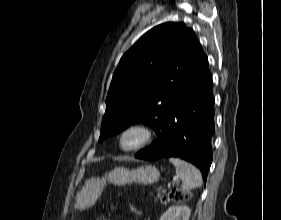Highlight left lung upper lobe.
I'll list each match as a JSON object with an SVG mask.
<instances>
[{"mask_svg": "<svg viewBox=\"0 0 281 220\" xmlns=\"http://www.w3.org/2000/svg\"><path fill=\"white\" fill-rule=\"evenodd\" d=\"M204 56L194 31L183 23L161 24L145 33L113 74L99 141L140 122L158 133L178 87Z\"/></svg>", "mask_w": 281, "mask_h": 220, "instance_id": "left-lung-upper-lobe-1", "label": "left lung upper lobe"}]
</instances>
